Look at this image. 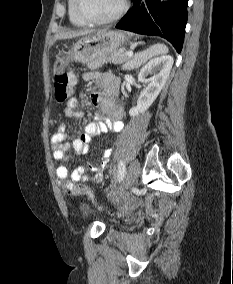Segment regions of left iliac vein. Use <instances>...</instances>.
Wrapping results in <instances>:
<instances>
[{
  "label": "left iliac vein",
  "instance_id": "left-iliac-vein-1",
  "mask_svg": "<svg viewBox=\"0 0 233 284\" xmlns=\"http://www.w3.org/2000/svg\"><path fill=\"white\" fill-rule=\"evenodd\" d=\"M140 173V163L139 161L136 159L134 161H132V163L130 164L125 180L123 181L121 187L115 191L112 194V197H117L118 195L124 193L126 190H128L136 181V179L138 178Z\"/></svg>",
  "mask_w": 233,
  "mask_h": 284
}]
</instances>
